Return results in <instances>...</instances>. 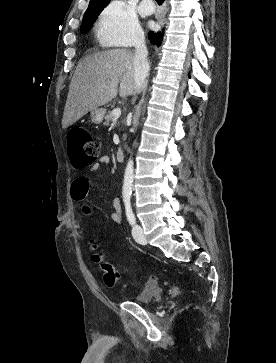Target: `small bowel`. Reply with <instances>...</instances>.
Returning a JSON list of instances; mask_svg holds the SVG:
<instances>
[{"label":"small bowel","mask_w":276,"mask_h":363,"mask_svg":"<svg viewBox=\"0 0 276 363\" xmlns=\"http://www.w3.org/2000/svg\"><path fill=\"white\" fill-rule=\"evenodd\" d=\"M109 162V158L107 156H102L100 159L94 163L90 167V171L98 170L102 165H105ZM90 190V182L85 177H77L73 180L70 188L71 198L76 202H85L88 198ZM112 206L114 212L111 215L112 221L120 225L122 223V216H121V202L118 197L114 198L112 201ZM82 211L86 215H90L92 210L89 205H84L82 207Z\"/></svg>","instance_id":"c3829d8e"}]
</instances>
